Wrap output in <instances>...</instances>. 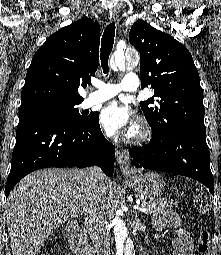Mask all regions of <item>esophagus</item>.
<instances>
[{
	"label": "esophagus",
	"mask_w": 221,
	"mask_h": 255,
	"mask_svg": "<svg viewBox=\"0 0 221 255\" xmlns=\"http://www.w3.org/2000/svg\"><path fill=\"white\" fill-rule=\"evenodd\" d=\"M109 20L115 23H118L119 21V15L118 12L114 9L109 10L108 12ZM116 160L118 164L120 165V168L123 172L130 171L129 167V154L128 151L124 148H117L116 150Z\"/></svg>",
	"instance_id": "1"
}]
</instances>
